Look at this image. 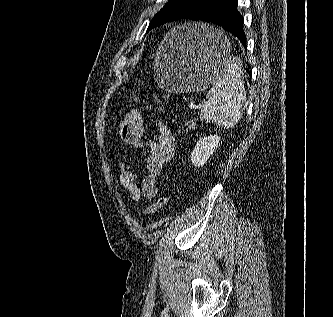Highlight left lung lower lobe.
Masks as SVG:
<instances>
[{"label": "left lung lower lobe", "instance_id": "left-lung-lower-lobe-1", "mask_svg": "<svg viewBox=\"0 0 333 317\" xmlns=\"http://www.w3.org/2000/svg\"><path fill=\"white\" fill-rule=\"evenodd\" d=\"M237 6V0H214L207 5L187 13L183 19L219 25L236 36L244 48H246V35L243 30L244 19L238 11Z\"/></svg>", "mask_w": 333, "mask_h": 317}]
</instances>
